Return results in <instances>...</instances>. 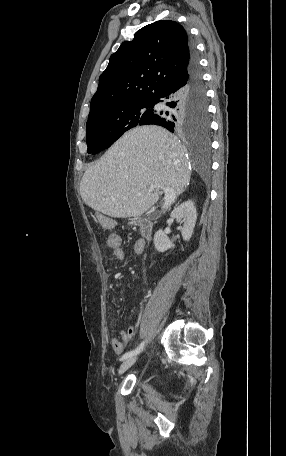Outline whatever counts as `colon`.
<instances>
[{"instance_id": "1", "label": "colon", "mask_w": 286, "mask_h": 456, "mask_svg": "<svg viewBox=\"0 0 286 456\" xmlns=\"http://www.w3.org/2000/svg\"><path fill=\"white\" fill-rule=\"evenodd\" d=\"M115 241V238L114 237H111L110 238V242H114Z\"/></svg>"}]
</instances>
